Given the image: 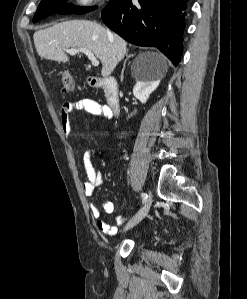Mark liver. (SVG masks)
<instances>
[{
	"mask_svg": "<svg viewBox=\"0 0 247 299\" xmlns=\"http://www.w3.org/2000/svg\"><path fill=\"white\" fill-rule=\"evenodd\" d=\"M34 44L41 58L67 62L65 48H86L102 63L101 75L108 77L126 55L127 43L119 35L102 25L88 20H71L38 30L33 35ZM158 67L159 77L167 72L166 58L156 52H147Z\"/></svg>",
	"mask_w": 247,
	"mask_h": 299,
	"instance_id": "6515ba94",
	"label": "liver"
}]
</instances>
